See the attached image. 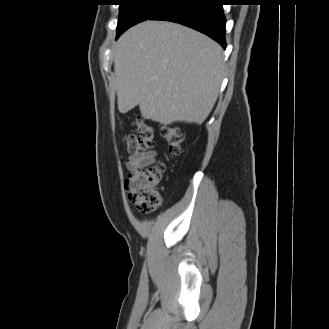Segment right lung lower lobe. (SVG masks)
Segmentation results:
<instances>
[{"mask_svg": "<svg viewBox=\"0 0 329 329\" xmlns=\"http://www.w3.org/2000/svg\"><path fill=\"white\" fill-rule=\"evenodd\" d=\"M222 1L175 0L164 6L150 20L171 21L191 27L208 35L226 48Z\"/></svg>", "mask_w": 329, "mask_h": 329, "instance_id": "1", "label": "right lung lower lobe"}]
</instances>
